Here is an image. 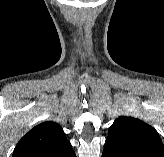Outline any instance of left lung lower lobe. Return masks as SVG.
I'll return each mask as SVG.
<instances>
[{
  "label": "left lung lower lobe",
  "mask_w": 164,
  "mask_h": 157,
  "mask_svg": "<svg viewBox=\"0 0 164 157\" xmlns=\"http://www.w3.org/2000/svg\"><path fill=\"white\" fill-rule=\"evenodd\" d=\"M102 157H138V156L106 139Z\"/></svg>",
  "instance_id": "left-lung-lower-lobe-1"
}]
</instances>
